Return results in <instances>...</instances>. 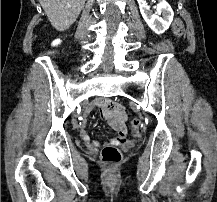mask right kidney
Segmentation results:
<instances>
[{"label":"right kidney","instance_id":"ca27d5eb","mask_svg":"<svg viewBox=\"0 0 217 202\" xmlns=\"http://www.w3.org/2000/svg\"><path fill=\"white\" fill-rule=\"evenodd\" d=\"M58 44H61V40H54V42H52V46H58Z\"/></svg>","mask_w":217,"mask_h":202}]
</instances>
